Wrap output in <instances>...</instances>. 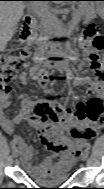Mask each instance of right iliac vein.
Instances as JSON below:
<instances>
[{"label":"right iliac vein","instance_id":"obj_1","mask_svg":"<svg viewBox=\"0 0 104 189\" xmlns=\"http://www.w3.org/2000/svg\"><path fill=\"white\" fill-rule=\"evenodd\" d=\"M20 155L19 150L17 148L13 149V156L17 158Z\"/></svg>","mask_w":104,"mask_h":189}]
</instances>
